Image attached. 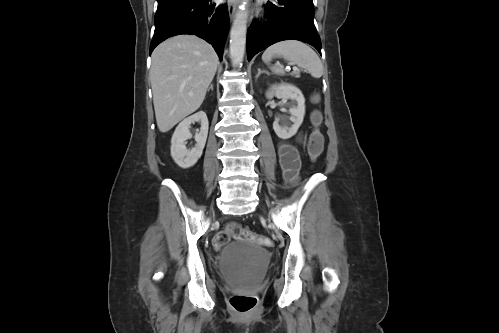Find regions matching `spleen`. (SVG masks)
Segmentation results:
<instances>
[{"mask_svg":"<svg viewBox=\"0 0 499 333\" xmlns=\"http://www.w3.org/2000/svg\"><path fill=\"white\" fill-rule=\"evenodd\" d=\"M274 57H281L289 63H294L306 69L314 78H320L323 75V64L318 55L308 45L300 41L286 40L278 42L264 51L262 60L264 63L269 64ZM272 71L277 75L285 74L283 67L278 65L272 67Z\"/></svg>","mask_w":499,"mask_h":333,"instance_id":"obj_1","label":"spleen"}]
</instances>
